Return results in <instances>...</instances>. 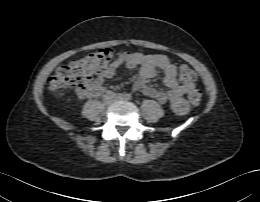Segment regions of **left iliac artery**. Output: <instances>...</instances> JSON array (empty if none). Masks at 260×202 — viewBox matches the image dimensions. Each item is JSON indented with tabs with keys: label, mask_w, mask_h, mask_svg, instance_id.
I'll return each instance as SVG.
<instances>
[{
	"label": "left iliac artery",
	"mask_w": 260,
	"mask_h": 202,
	"mask_svg": "<svg viewBox=\"0 0 260 202\" xmlns=\"http://www.w3.org/2000/svg\"><path fill=\"white\" fill-rule=\"evenodd\" d=\"M124 96L126 97L127 100H130L132 99V96L131 94H128V93H125Z\"/></svg>",
	"instance_id": "left-iliac-artery-1"
}]
</instances>
